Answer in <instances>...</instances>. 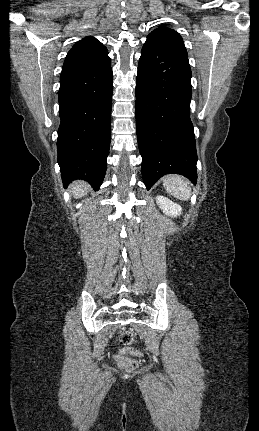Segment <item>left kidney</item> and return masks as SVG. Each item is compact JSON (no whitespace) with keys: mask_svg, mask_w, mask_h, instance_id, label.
<instances>
[{"mask_svg":"<svg viewBox=\"0 0 259 431\" xmlns=\"http://www.w3.org/2000/svg\"><path fill=\"white\" fill-rule=\"evenodd\" d=\"M156 202L161 210H163V212L170 217H177L181 214V206L164 196L158 195L156 197Z\"/></svg>","mask_w":259,"mask_h":431,"instance_id":"left-kidney-1","label":"left kidney"}]
</instances>
